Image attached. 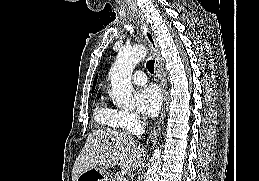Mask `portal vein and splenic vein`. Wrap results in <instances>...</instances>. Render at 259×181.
I'll return each mask as SVG.
<instances>
[{"label": "portal vein and splenic vein", "mask_w": 259, "mask_h": 181, "mask_svg": "<svg viewBox=\"0 0 259 181\" xmlns=\"http://www.w3.org/2000/svg\"><path fill=\"white\" fill-rule=\"evenodd\" d=\"M120 181H128V179L124 177V178H121Z\"/></svg>", "instance_id": "18ae733b"}]
</instances>
